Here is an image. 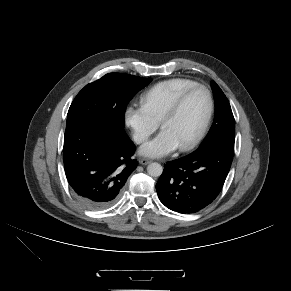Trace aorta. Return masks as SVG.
Returning <instances> with one entry per match:
<instances>
[{
	"label": "aorta",
	"instance_id": "obj_1",
	"mask_svg": "<svg viewBox=\"0 0 291 291\" xmlns=\"http://www.w3.org/2000/svg\"><path fill=\"white\" fill-rule=\"evenodd\" d=\"M147 172L152 177H159L163 172V168L159 163L154 162L148 165Z\"/></svg>",
	"mask_w": 291,
	"mask_h": 291
}]
</instances>
